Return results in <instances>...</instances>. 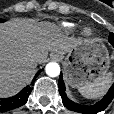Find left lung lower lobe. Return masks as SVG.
Masks as SVG:
<instances>
[{"label":"left lung lower lobe","instance_id":"1","mask_svg":"<svg viewBox=\"0 0 114 114\" xmlns=\"http://www.w3.org/2000/svg\"><path fill=\"white\" fill-rule=\"evenodd\" d=\"M109 42L114 47V38H110ZM58 86L60 88L59 92L62 98L63 105L69 110L80 112L83 114H95L99 111H103L114 98V84H113L109 89L108 93L103 97V99L97 102L96 104L92 106L79 105L68 99V97L66 96L65 84L62 79V74H60Z\"/></svg>","mask_w":114,"mask_h":114}]
</instances>
